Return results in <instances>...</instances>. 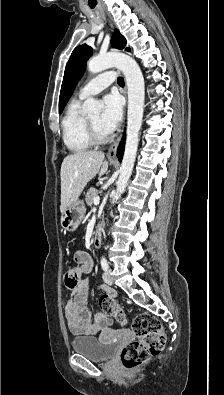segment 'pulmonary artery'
I'll use <instances>...</instances> for the list:
<instances>
[{
    "label": "pulmonary artery",
    "mask_w": 224,
    "mask_h": 395,
    "mask_svg": "<svg viewBox=\"0 0 224 395\" xmlns=\"http://www.w3.org/2000/svg\"><path fill=\"white\" fill-rule=\"evenodd\" d=\"M114 80L115 74L113 71H107L99 74L81 87L79 97L85 99L94 96L110 86Z\"/></svg>",
    "instance_id": "pulmonary-artery-1"
}]
</instances>
